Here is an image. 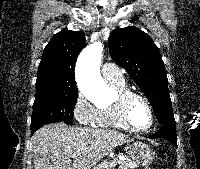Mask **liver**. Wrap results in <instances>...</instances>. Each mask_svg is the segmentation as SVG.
<instances>
[{
	"instance_id": "liver-1",
	"label": "liver",
	"mask_w": 200,
	"mask_h": 169,
	"mask_svg": "<svg viewBox=\"0 0 200 169\" xmlns=\"http://www.w3.org/2000/svg\"><path fill=\"white\" fill-rule=\"evenodd\" d=\"M132 141L115 130L49 124L32 136L34 169H91L116 147Z\"/></svg>"
}]
</instances>
